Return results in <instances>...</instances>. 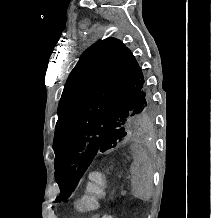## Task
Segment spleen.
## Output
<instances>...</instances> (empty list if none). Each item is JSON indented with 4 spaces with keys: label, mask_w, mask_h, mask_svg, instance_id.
Wrapping results in <instances>:
<instances>
[{
    "label": "spleen",
    "mask_w": 211,
    "mask_h": 218,
    "mask_svg": "<svg viewBox=\"0 0 211 218\" xmlns=\"http://www.w3.org/2000/svg\"><path fill=\"white\" fill-rule=\"evenodd\" d=\"M132 176V194L139 200H149L153 192L152 168L144 152H136L130 166Z\"/></svg>",
    "instance_id": "obj_1"
}]
</instances>
